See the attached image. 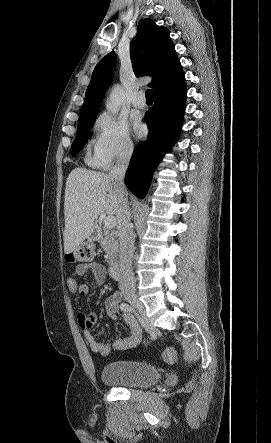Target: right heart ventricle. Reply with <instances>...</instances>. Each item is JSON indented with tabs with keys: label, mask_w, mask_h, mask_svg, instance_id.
I'll return each instance as SVG.
<instances>
[{
	"label": "right heart ventricle",
	"mask_w": 271,
	"mask_h": 443,
	"mask_svg": "<svg viewBox=\"0 0 271 443\" xmlns=\"http://www.w3.org/2000/svg\"><path fill=\"white\" fill-rule=\"evenodd\" d=\"M88 162L92 166H96L98 164V162L96 160H92V159H88Z\"/></svg>",
	"instance_id": "1"
}]
</instances>
